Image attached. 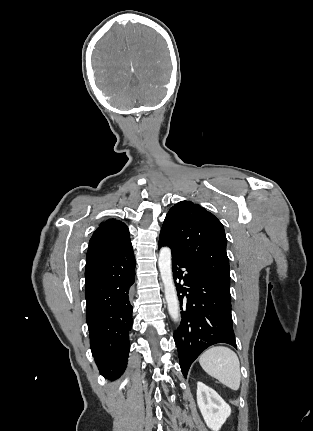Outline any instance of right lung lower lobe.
Segmentation results:
<instances>
[{
    "label": "right lung lower lobe",
    "mask_w": 313,
    "mask_h": 431,
    "mask_svg": "<svg viewBox=\"0 0 313 431\" xmlns=\"http://www.w3.org/2000/svg\"><path fill=\"white\" fill-rule=\"evenodd\" d=\"M132 244L87 260L85 270L86 321L90 347L101 374L117 379L125 370L132 327L130 288L134 283Z\"/></svg>",
    "instance_id": "obj_1"
}]
</instances>
